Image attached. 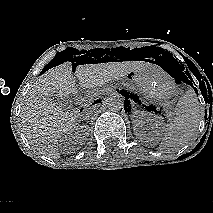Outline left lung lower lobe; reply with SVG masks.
<instances>
[{
    "mask_svg": "<svg viewBox=\"0 0 213 213\" xmlns=\"http://www.w3.org/2000/svg\"><path fill=\"white\" fill-rule=\"evenodd\" d=\"M120 94H122L125 97V101L128 99V94H126V92L124 90L120 91ZM122 109V108H121Z\"/></svg>",
    "mask_w": 213,
    "mask_h": 213,
    "instance_id": "1",
    "label": "left lung lower lobe"
}]
</instances>
